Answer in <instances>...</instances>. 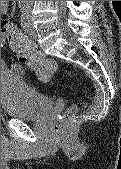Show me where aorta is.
<instances>
[{
	"mask_svg": "<svg viewBox=\"0 0 121 169\" xmlns=\"http://www.w3.org/2000/svg\"><path fill=\"white\" fill-rule=\"evenodd\" d=\"M19 3H21L23 5H30L33 3V1H19Z\"/></svg>",
	"mask_w": 121,
	"mask_h": 169,
	"instance_id": "obj_1",
	"label": "aorta"
}]
</instances>
